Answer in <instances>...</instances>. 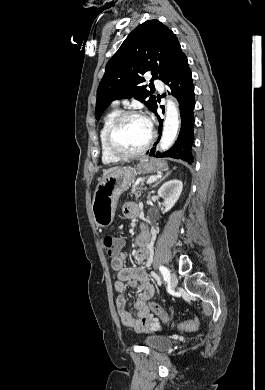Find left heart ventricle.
Wrapping results in <instances>:
<instances>
[{
	"label": "left heart ventricle",
	"instance_id": "obj_1",
	"mask_svg": "<svg viewBox=\"0 0 265 390\" xmlns=\"http://www.w3.org/2000/svg\"><path fill=\"white\" fill-rule=\"evenodd\" d=\"M149 126L146 121L138 117L125 119L115 134L117 147L125 152L139 150L149 138Z\"/></svg>",
	"mask_w": 265,
	"mask_h": 390
}]
</instances>
